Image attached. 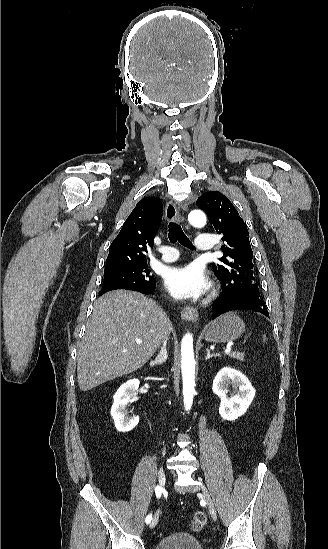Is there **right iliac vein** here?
Listing matches in <instances>:
<instances>
[{"label":"right iliac vein","instance_id":"1","mask_svg":"<svg viewBox=\"0 0 328 549\" xmlns=\"http://www.w3.org/2000/svg\"><path fill=\"white\" fill-rule=\"evenodd\" d=\"M158 481H159L161 486H163V487L165 486L166 476H165V472L162 468L158 471ZM158 519H159V516H158V514H156L154 516V518L152 519L151 523H150V528L151 529L156 527V525L158 524Z\"/></svg>","mask_w":328,"mask_h":549}]
</instances>
